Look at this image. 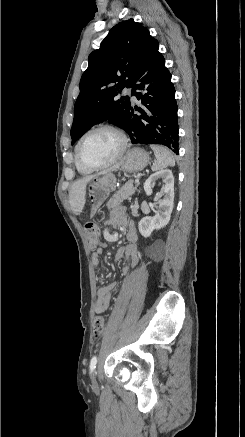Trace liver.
Here are the masks:
<instances>
[{
    "label": "liver",
    "mask_w": 245,
    "mask_h": 437,
    "mask_svg": "<svg viewBox=\"0 0 245 437\" xmlns=\"http://www.w3.org/2000/svg\"><path fill=\"white\" fill-rule=\"evenodd\" d=\"M106 173V172H104ZM96 176H86L76 181L69 191V203L75 215H80L86 202V186Z\"/></svg>",
    "instance_id": "1"
}]
</instances>
